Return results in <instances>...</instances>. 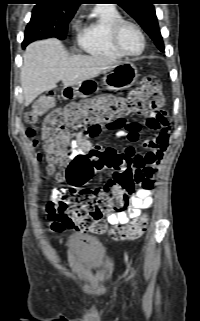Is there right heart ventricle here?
I'll return each instance as SVG.
<instances>
[{
	"label": "right heart ventricle",
	"instance_id": "1",
	"mask_svg": "<svg viewBox=\"0 0 200 321\" xmlns=\"http://www.w3.org/2000/svg\"><path fill=\"white\" fill-rule=\"evenodd\" d=\"M120 11L113 5H97L77 35L78 46L86 53L103 58L122 59L113 45L111 31L122 20Z\"/></svg>",
	"mask_w": 200,
	"mask_h": 321
}]
</instances>
